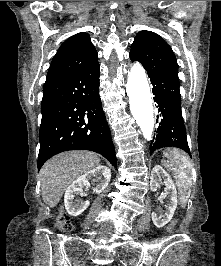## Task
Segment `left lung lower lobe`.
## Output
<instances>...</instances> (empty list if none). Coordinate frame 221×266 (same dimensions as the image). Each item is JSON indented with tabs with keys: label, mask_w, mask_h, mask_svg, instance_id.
I'll list each match as a JSON object with an SVG mask.
<instances>
[{
	"label": "left lung lower lobe",
	"mask_w": 221,
	"mask_h": 266,
	"mask_svg": "<svg viewBox=\"0 0 221 266\" xmlns=\"http://www.w3.org/2000/svg\"><path fill=\"white\" fill-rule=\"evenodd\" d=\"M148 76L153 85L154 101L160 112L157 116L159 127L156 141L150 145V153L163 147H177L190 155L181 111L179 80L157 74H148Z\"/></svg>",
	"instance_id": "left-lung-lower-lobe-1"
}]
</instances>
